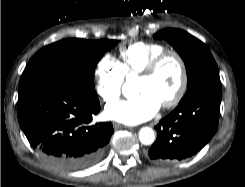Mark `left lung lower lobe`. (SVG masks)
<instances>
[{
  "label": "left lung lower lobe",
  "mask_w": 245,
  "mask_h": 187,
  "mask_svg": "<svg viewBox=\"0 0 245 187\" xmlns=\"http://www.w3.org/2000/svg\"><path fill=\"white\" fill-rule=\"evenodd\" d=\"M221 98V84H215L182 99L155 127L157 140L148 158L159 164H174L198 152L217 130Z\"/></svg>",
  "instance_id": "0a47b994"
}]
</instances>
